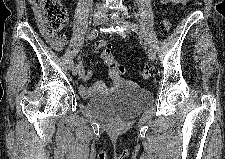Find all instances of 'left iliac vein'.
Wrapping results in <instances>:
<instances>
[{"instance_id": "4c4485c4", "label": "left iliac vein", "mask_w": 225, "mask_h": 159, "mask_svg": "<svg viewBox=\"0 0 225 159\" xmlns=\"http://www.w3.org/2000/svg\"><path fill=\"white\" fill-rule=\"evenodd\" d=\"M102 23L103 24H108L109 23V20L106 17H104V19L102 20ZM117 23L120 26L124 27L128 32H135V33H138L139 34L138 31L133 30V28L131 27V22H129L127 20H123V19H118L117 20ZM147 51H148V55H149L150 60L151 61H154L155 58H156V53H155L154 48L149 45Z\"/></svg>"}]
</instances>
